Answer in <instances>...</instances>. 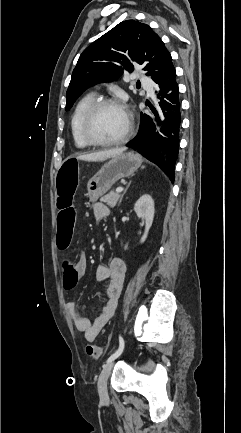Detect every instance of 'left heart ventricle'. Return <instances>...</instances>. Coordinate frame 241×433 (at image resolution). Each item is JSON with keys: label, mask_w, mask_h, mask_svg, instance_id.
I'll return each mask as SVG.
<instances>
[{"label": "left heart ventricle", "mask_w": 241, "mask_h": 433, "mask_svg": "<svg viewBox=\"0 0 241 433\" xmlns=\"http://www.w3.org/2000/svg\"><path fill=\"white\" fill-rule=\"evenodd\" d=\"M127 126V115L118 106H107L98 111L91 124L95 138L110 141L120 137Z\"/></svg>", "instance_id": "1"}]
</instances>
